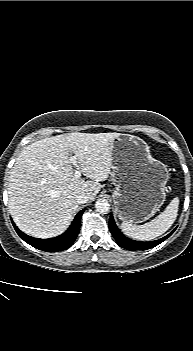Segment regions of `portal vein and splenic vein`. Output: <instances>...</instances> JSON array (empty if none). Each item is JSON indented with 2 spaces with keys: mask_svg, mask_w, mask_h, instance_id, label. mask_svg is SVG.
<instances>
[{
  "mask_svg": "<svg viewBox=\"0 0 193 351\" xmlns=\"http://www.w3.org/2000/svg\"><path fill=\"white\" fill-rule=\"evenodd\" d=\"M70 161L76 168V171L74 173L75 178H79L81 176V170H80L79 166L77 165L76 157L75 156L70 157Z\"/></svg>",
  "mask_w": 193,
  "mask_h": 351,
  "instance_id": "obj_1",
  "label": "portal vein and splenic vein"
}]
</instances>
